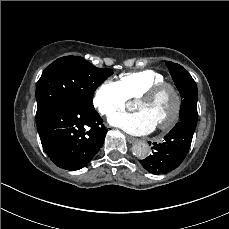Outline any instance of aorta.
I'll list each match as a JSON object with an SVG mask.
<instances>
[{
	"instance_id": "aorta-1",
	"label": "aorta",
	"mask_w": 229,
	"mask_h": 229,
	"mask_svg": "<svg viewBox=\"0 0 229 229\" xmlns=\"http://www.w3.org/2000/svg\"><path fill=\"white\" fill-rule=\"evenodd\" d=\"M149 151L150 150L148 144L143 141L136 142L132 146V153L137 158H146L149 154Z\"/></svg>"
}]
</instances>
